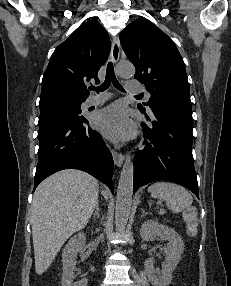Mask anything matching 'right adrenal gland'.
<instances>
[{
	"label": "right adrenal gland",
	"mask_w": 231,
	"mask_h": 286,
	"mask_svg": "<svg viewBox=\"0 0 231 286\" xmlns=\"http://www.w3.org/2000/svg\"><path fill=\"white\" fill-rule=\"evenodd\" d=\"M93 217H98L99 218V203L96 204L95 207V213L93 214Z\"/></svg>",
	"instance_id": "2a0ac1e0"
}]
</instances>
